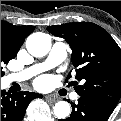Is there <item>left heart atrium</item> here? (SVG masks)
<instances>
[{"mask_svg": "<svg viewBox=\"0 0 121 121\" xmlns=\"http://www.w3.org/2000/svg\"><path fill=\"white\" fill-rule=\"evenodd\" d=\"M47 83H48V80L46 78H40L37 82H36V85L39 87V88H44L47 86Z\"/></svg>", "mask_w": 121, "mask_h": 121, "instance_id": "obj_1", "label": "left heart atrium"}]
</instances>
